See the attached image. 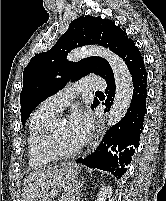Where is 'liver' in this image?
<instances>
[{"mask_svg":"<svg viewBox=\"0 0 166 201\" xmlns=\"http://www.w3.org/2000/svg\"><path fill=\"white\" fill-rule=\"evenodd\" d=\"M58 166L31 172L23 183L22 201H34L38 188L57 170Z\"/></svg>","mask_w":166,"mask_h":201,"instance_id":"liver-1","label":"liver"}]
</instances>
